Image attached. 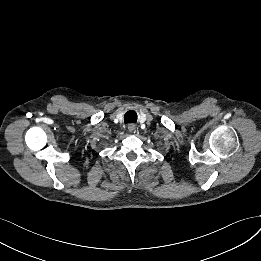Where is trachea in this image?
Instances as JSON below:
<instances>
[{"mask_svg":"<svg viewBox=\"0 0 261 261\" xmlns=\"http://www.w3.org/2000/svg\"><path fill=\"white\" fill-rule=\"evenodd\" d=\"M130 116H133L134 119H131ZM124 120H125V122H136V120H137L136 112H134V111L127 112ZM131 120H134V121H131Z\"/></svg>","mask_w":261,"mask_h":261,"instance_id":"3493384b","label":"trachea"}]
</instances>
